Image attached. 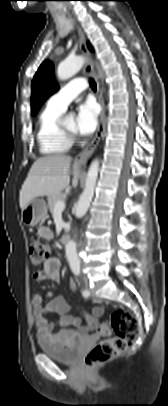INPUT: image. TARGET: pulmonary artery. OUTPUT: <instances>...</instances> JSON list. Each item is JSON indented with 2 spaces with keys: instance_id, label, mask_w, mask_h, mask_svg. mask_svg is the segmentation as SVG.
<instances>
[{
  "instance_id": "pulmonary-artery-1",
  "label": "pulmonary artery",
  "mask_w": 168,
  "mask_h": 406,
  "mask_svg": "<svg viewBox=\"0 0 168 406\" xmlns=\"http://www.w3.org/2000/svg\"><path fill=\"white\" fill-rule=\"evenodd\" d=\"M86 88L87 82L84 78L73 79L52 95L49 98L47 105L64 111L68 104Z\"/></svg>"
}]
</instances>
